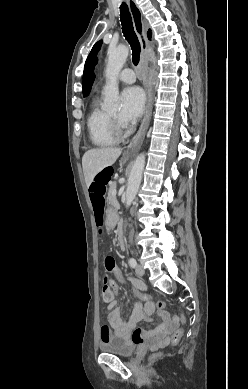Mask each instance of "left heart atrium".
Masks as SVG:
<instances>
[{"label":"left heart atrium","instance_id":"left-heart-atrium-1","mask_svg":"<svg viewBox=\"0 0 248 389\" xmlns=\"http://www.w3.org/2000/svg\"><path fill=\"white\" fill-rule=\"evenodd\" d=\"M121 101L120 119L124 124L133 123L141 117L145 106V95L141 88H125L121 93Z\"/></svg>","mask_w":248,"mask_h":389}]
</instances>
